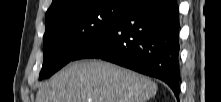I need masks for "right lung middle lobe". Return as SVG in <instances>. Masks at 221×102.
Returning <instances> with one entry per match:
<instances>
[{
  "label": "right lung middle lobe",
  "mask_w": 221,
  "mask_h": 102,
  "mask_svg": "<svg viewBox=\"0 0 221 102\" xmlns=\"http://www.w3.org/2000/svg\"><path fill=\"white\" fill-rule=\"evenodd\" d=\"M133 6L130 0H84L46 19L44 63L48 78L115 25Z\"/></svg>",
  "instance_id": "right-lung-middle-lobe-1"
}]
</instances>
